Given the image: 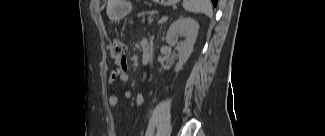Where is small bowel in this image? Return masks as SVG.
<instances>
[{"label": "small bowel", "instance_id": "c3829d8e", "mask_svg": "<svg viewBox=\"0 0 325 136\" xmlns=\"http://www.w3.org/2000/svg\"><path fill=\"white\" fill-rule=\"evenodd\" d=\"M129 74L127 72V61L124 59L121 62H117V68L108 73L107 82L109 84L113 83L116 79L122 83H127L129 81ZM123 98L125 100H130L132 98V93L129 90L123 92ZM119 102V96L115 93L108 97V103L110 106H116ZM144 96L139 94L135 97V104L137 107H142L144 105Z\"/></svg>", "mask_w": 325, "mask_h": 136}]
</instances>
